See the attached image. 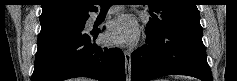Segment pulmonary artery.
<instances>
[{"mask_svg": "<svg viewBox=\"0 0 237 81\" xmlns=\"http://www.w3.org/2000/svg\"><path fill=\"white\" fill-rule=\"evenodd\" d=\"M108 13H114V10H109ZM96 16V15H95Z\"/></svg>", "mask_w": 237, "mask_h": 81, "instance_id": "pulmonary-artery-1", "label": "pulmonary artery"}]
</instances>
